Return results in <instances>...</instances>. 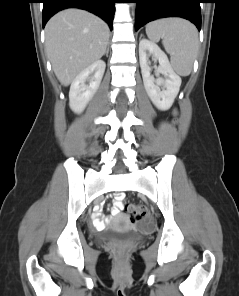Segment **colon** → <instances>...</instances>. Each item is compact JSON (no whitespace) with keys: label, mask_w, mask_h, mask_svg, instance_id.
<instances>
[{"label":"colon","mask_w":239,"mask_h":296,"mask_svg":"<svg viewBox=\"0 0 239 296\" xmlns=\"http://www.w3.org/2000/svg\"><path fill=\"white\" fill-rule=\"evenodd\" d=\"M124 211L128 215L131 222H137L142 220L147 212L144 206L134 204V203H128L124 206ZM115 251L119 254H123L125 252L124 248L122 247H116Z\"/></svg>","instance_id":"5ec220e1"}]
</instances>
